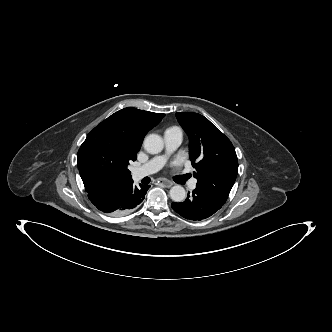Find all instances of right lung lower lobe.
Masks as SVG:
<instances>
[{
    "label": "right lung lower lobe",
    "mask_w": 332,
    "mask_h": 332,
    "mask_svg": "<svg viewBox=\"0 0 332 332\" xmlns=\"http://www.w3.org/2000/svg\"><path fill=\"white\" fill-rule=\"evenodd\" d=\"M149 185L133 186L132 179L117 184H102L88 191L90 201L102 212L124 215L144 200Z\"/></svg>",
    "instance_id": "1"
}]
</instances>
